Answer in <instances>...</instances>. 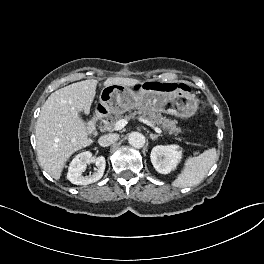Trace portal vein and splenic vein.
Masks as SVG:
<instances>
[{
    "label": "portal vein and splenic vein",
    "instance_id": "18ae733b",
    "mask_svg": "<svg viewBox=\"0 0 264 264\" xmlns=\"http://www.w3.org/2000/svg\"><path fill=\"white\" fill-rule=\"evenodd\" d=\"M127 123H128L127 119H120L119 121L116 122L114 130H117V131L121 130L122 128L126 126ZM149 125L153 128L155 132L159 134L162 133V130L159 129L158 127H155L152 124H149Z\"/></svg>",
    "mask_w": 264,
    "mask_h": 264
}]
</instances>
